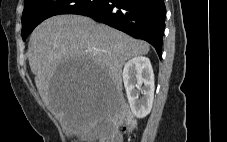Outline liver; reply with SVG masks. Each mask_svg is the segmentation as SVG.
<instances>
[{"label": "liver", "mask_w": 227, "mask_h": 142, "mask_svg": "<svg viewBox=\"0 0 227 142\" xmlns=\"http://www.w3.org/2000/svg\"><path fill=\"white\" fill-rule=\"evenodd\" d=\"M143 40L79 15H57L43 21L30 37L29 65L46 107L71 133L85 135L105 112L98 98L122 97V67L133 57L146 55ZM59 61H94L100 78L95 88H60L52 81Z\"/></svg>", "instance_id": "obj_1"}]
</instances>
